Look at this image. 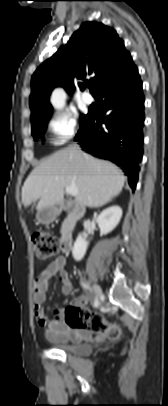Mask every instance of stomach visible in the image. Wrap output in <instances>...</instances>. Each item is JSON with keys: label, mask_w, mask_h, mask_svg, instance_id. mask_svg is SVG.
Returning a JSON list of instances; mask_svg holds the SVG:
<instances>
[{"label": "stomach", "mask_w": 168, "mask_h": 406, "mask_svg": "<svg viewBox=\"0 0 168 406\" xmlns=\"http://www.w3.org/2000/svg\"><path fill=\"white\" fill-rule=\"evenodd\" d=\"M57 215V209L54 207L44 208L37 213V220L41 223L48 224L52 222Z\"/></svg>", "instance_id": "1"}]
</instances>
